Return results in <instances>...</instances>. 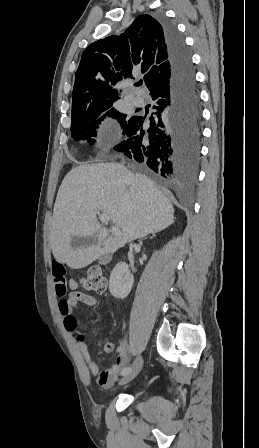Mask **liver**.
<instances>
[{"label":"liver","instance_id":"1","mask_svg":"<svg viewBox=\"0 0 259 448\" xmlns=\"http://www.w3.org/2000/svg\"><path fill=\"white\" fill-rule=\"evenodd\" d=\"M123 164H88L65 176L50 222L52 254L59 264L73 270L86 268L104 254H114L127 242L156 234L174 222V208L155 182L145 174H132L126 182ZM108 214L121 234L111 236L96 214ZM98 236L97 246L72 250L71 238ZM103 246V248H101Z\"/></svg>","mask_w":259,"mask_h":448}]
</instances>
